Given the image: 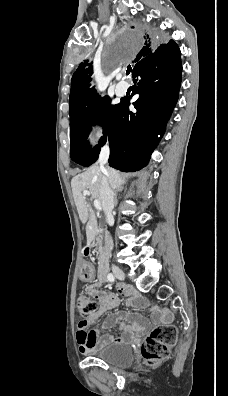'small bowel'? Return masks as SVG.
Returning a JSON list of instances; mask_svg holds the SVG:
<instances>
[{
    "mask_svg": "<svg viewBox=\"0 0 228 396\" xmlns=\"http://www.w3.org/2000/svg\"><path fill=\"white\" fill-rule=\"evenodd\" d=\"M82 273L85 278L92 277V266L89 263H84ZM106 282V272H104L102 275H99L97 283L86 287V292L98 301V309L91 316V322H96L103 313L119 305V298L116 294L99 289L100 286ZM119 290L121 293L127 294L125 288L119 286ZM126 306L133 309H140L145 306V301L139 295L132 293L129 294ZM118 322H120L119 329L123 332L121 337L116 338L111 335H99L101 330L112 328ZM148 326V321L141 315L132 312L118 311L108 315L101 324L96 325L88 331L79 326L77 331L79 351L83 354H89L97 347L113 342L124 341L131 338L135 333H143L147 330Z\"/></svg>",
    "mask_w": 228,
    "mask_h": 396,
    "instance_id": "c3829d8e",
    "label": "small bowel"
}]
</instances>
